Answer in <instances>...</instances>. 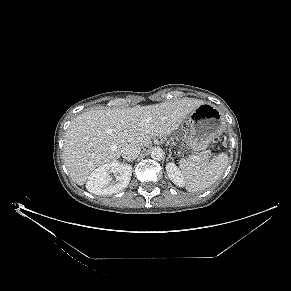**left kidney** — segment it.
<instances>
[{
	"instance_id": "5707ae66",
	"label": "left kidney",
	"mask_w": 291,
	"mask_h": 291,
	"mask_svg": "<svg viewBox=\"0 0 291 291\" xmlns=\"http://www.w3.org/2000/svg\"><path fill=\"white\" fill-rule=\"evenodd\" d=\"M166 172L170 180L179 187H183L185 182L181 171L175 165V163L170 162L166 165Z\"/></svg>"
}]
</instances>
